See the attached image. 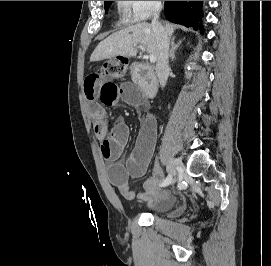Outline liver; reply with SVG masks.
Returning <instances> with one entry per match:
<instances>
[{
	"instance_id": "obj_1",
	"label": "liver",
	"mask_w": 271,
	"mask_h": 266,
	"mask_svg": "<svg viewBox=\"0 0 271 266\" xmlns=\"http://www.w3.org/2000/svg\"><path fill=\"white\" fill-rule=\"evenodd\" d=\"M164 28L168 36L173 35L175 31L173 24L166 23ZM137 45H142L148 53L158 58L156 36L151 24L147 22L138 23L113 33L98 44L90 57V61H100L116 56L134 57L137 54Z\"/></svg>"
}]
</instances>
